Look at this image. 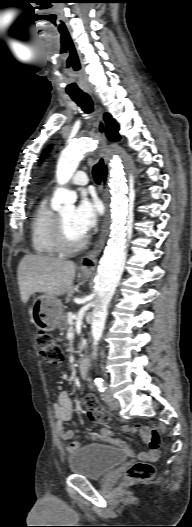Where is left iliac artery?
Masks as SVG:
<instances>
[{"label": "left iliac artery", "instance_id": "1", "mask_svg": "<svg viewBox=\"0 0 192 527\" xmlns=\"http://www.w3.org/2000/svg\"><path fill=\"white\" fill-rule=\"evenodd\" d=\"M96 386L100 392H104L107 389L106 384L103 380L98 381L96 383Z\"/></svg>", "mask_w": 192, "mask_h": 527}]
</instances>
